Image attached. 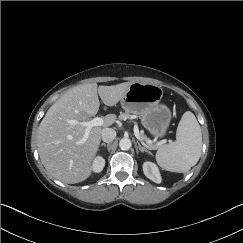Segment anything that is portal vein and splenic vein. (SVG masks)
<instances>
[{
    "instance_id": "portal-vein-and-splenic-vein-1",
    "label": "portal vein and splenic vein",
    "mask_w": 243,
    "mask_h": 243,
    "mask_svg": "<svg viewBox=\"0 0 243 243\" xmlns=\"http://www.w3.org/2000/svg\"><path fill=\"white\" fill-rule=\"evenodd\" d=\"M69 124L71 125H81L82 127H85V133L83 135V138L81 139V143H84L87 138L89 137V133L90 130L95 127V126H102L104 124V120L100 117H95L93 119H91L90 121H83V122H78L76 120H69L68 121ZM134 134L135 137L147 148L151 149V147L149 145H147L143 139L141 138L138 129L135 127L134 129Z\"/></svg>"
}]
</instances>
